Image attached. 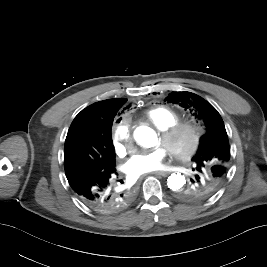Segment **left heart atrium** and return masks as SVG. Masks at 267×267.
Listing matches in <instances>:
<instances>
[{
    "mask_svg": "<svg viewBox=\"0 0 267 267\" xmlns=\"http://www.w3.org/2000/svg\"><path fill=\"white\" fill-rule=\"evenodd\" d=\"M167 151L164 147H157L149 151L135 153L124 165L126 174L138 178L147 173L163 168Z\"/></svg>",
    "mask_w": 267,
    "mask_h": 267,
    "instance_id": "obj_1",
    "label": "left heart atrium"
}]
</instances>
